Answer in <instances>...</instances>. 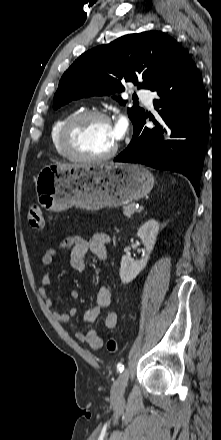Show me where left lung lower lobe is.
Wrapping results in <instances>:
<instances>
[{
	"mask_svg": "<svg viewBox=\"0 0 221 440\" xmlns=\"http://www.w3.org/2000/svg\"><path fill=\"white\" fill-rule=\"evenodd\" d=\"M151 90L159 96L154 107L161 118L153 119L156 127L148 129L144 116L130 144L114 161L178 172L190 180L199 195L209 109L202 79L185 51Z\"/></svg>",
	"mask_w": 221,
	"mask_h": 440,
	"instance_id": "1",
	"label": "left lung lower lobe"
}]
</instances>
